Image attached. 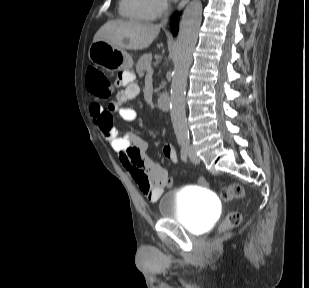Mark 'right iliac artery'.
<instances>
[{
    "label": "right iliac artery",
    "mask_w": 309,
    "mask_h": 288,
    "mask_svg": "<svg viewBox=\"0 0 309 288\" xmlns=\"http://www.w3.org/2000/svg\"><path fill=\"white\" fill-rule=\"evenodd\" d=\"M179 144L182 146V140H179Z\"/></svg>",
    "instance_id": "obj_1"
}]
</instances>
